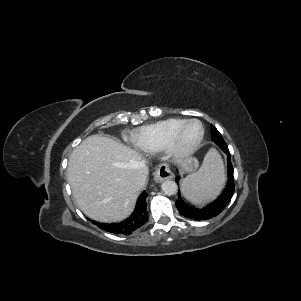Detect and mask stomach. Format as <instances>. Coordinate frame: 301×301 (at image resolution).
Segmentation results:
<instances>
[{"instance_id":"0dacf381","label":"stomach","mask_w":301,"mask_h":301,"mask_svg":"<svg viewBox=\"0 0 301 301\" xmlns=\"http://www.w3.org/2000/svg\"><path fill=\"white\" fill-rule=\"evenodd\" d=\"M198 167V161L196 158L190 157L181 163L183 172H193Z\"/></svg>"}]
</instances>
